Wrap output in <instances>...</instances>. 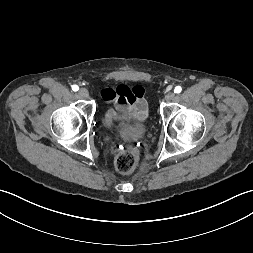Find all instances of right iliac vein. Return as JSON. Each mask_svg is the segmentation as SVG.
I'll list each match as a JSON object with an SVG mask.
<instances>
[{
	"label": "right iliac vein",
	"mask_w": 253,
	"mask_h": 253,
	"mask_svg": "<svg viewBox=\"0 0 253 253\" xmlns=\"http://www.w3.org/2000/svg\"><path fill=\"white\" fill-rule=\"evenodd\" d=\"M78 94L81 98H88L89 97V92L86 88H80L78 91Z\"/></svg>",
	"instance_id": "1"
}]
</instances>
